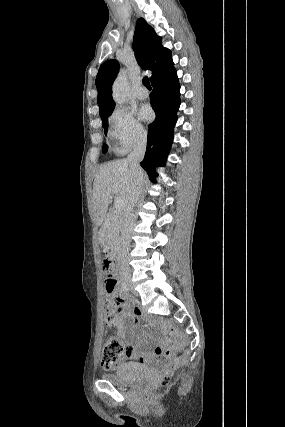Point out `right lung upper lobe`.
<instances>
[{"label":"right lung upper lobe","mask_w":285,"mask_h":427,"mask_svg":"<svg viewBox=\"0 0 285 427\" xmlns=\"http://www.w3.org/2000/svg\"><path fill=\"white\" fill-rule=\"evenodd\" d=\"M133 49L140 66L144 70L152 71L151 84L162 81L175 72L170 50L162 46L161 37L143 18L137 20ZM118 70L119 63L116 60H108L100 66L96 76L97 101L101 120L108 118L114 110L112 83Z\"/></svg>","instance_id":"cb5924a9"}]
</instances>
